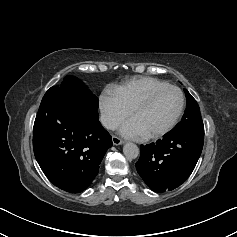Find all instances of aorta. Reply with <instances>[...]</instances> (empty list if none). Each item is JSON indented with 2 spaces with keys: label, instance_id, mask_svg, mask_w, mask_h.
<instances>
[{
  "label": "aorta",
  "instance_id": "obj_1",
  "mask_svg": "<svg viewBox=\"0 0 237 237\" xmlns=\"http://www.w3.org/2000/svg\"><path fill=\"white\" fill-rule=\"evenodd\" d=\"M139 148L134 143H126L123 147V153L127 159H135L139 155Z\"/></svg>",
  "mask_w": 237,
  "mask_h": 237
}]
</instances>
